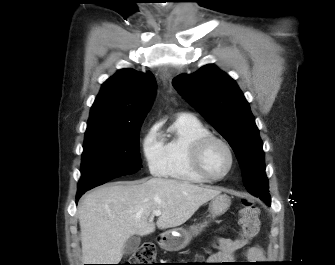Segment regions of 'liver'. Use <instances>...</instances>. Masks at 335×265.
<instances>
[{"mask_svg":"<svg viewBox=\"0 0 335 265\" xmlns=\"http://www.w3.org/2000/svg\"><path fill=\"white\" fill-rule=\"evenodd\" d=\"M220 190L177 180L151 178L99 187L84 196L78 211L83 264H118L126 241L174 228L189 220Z\"/></svg>","mask_w":335,"mask_h":265,"instance_id":"1","label":"liver"}]
</instances>
